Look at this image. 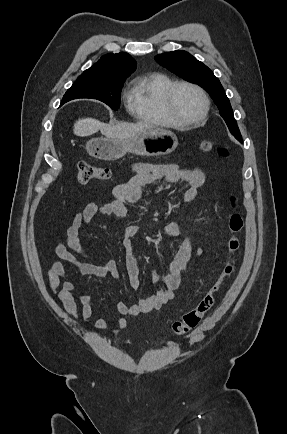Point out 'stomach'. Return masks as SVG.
Segmentation results:
<instances>
[{"instance_id":"0dacf381","label":"stomach","mask_w":287,"mask_h":434,"mask_svg":"<svg viewBox=\"0 0 287 434\" xmlns=\"http://www.w3.org/2000/svg\"><path fill=\"white\" fill-rule=\"evenodd\" d=\"M177 145L178 139L172 131L154 126L126 139H92L87 143V150L95 158L113 161L128 152L140 156L166 155Z\"/></svg>"}]
</instances>
